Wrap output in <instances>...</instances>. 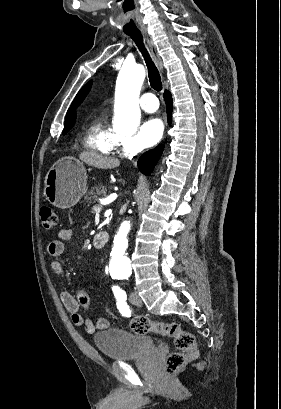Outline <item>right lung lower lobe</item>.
I'll list each match as a JSON object with an SVG mask.
<instances>
[{
	"label": "right lung lower lobe",
	"instance_id": "obj_1",
	"mask_svg": "<svg viewBox=\"0 0 281 409\" xmlns=\"http://www.w3.org/2000/svg\"><path fill=\"white\" fill-rule=\"evenodd\" d=\"M163 97L166 102L168 123L170 124L173 109L172 96L169 91L165 90ZM163 148L164 147L160 145L156 147L154 150L147 151L139 158L138 167L142 173L150 175L162 154Z\"/></svg>",
	"mask_w": 281,
	"mask_h": 409
}]
</instances>
